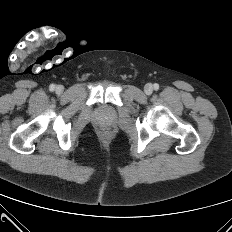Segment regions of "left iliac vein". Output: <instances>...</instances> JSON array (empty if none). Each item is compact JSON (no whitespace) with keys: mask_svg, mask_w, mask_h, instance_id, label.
<instances>
[{"mask_svg":"<svg viewBox=\"0 0 232 232\" xmlns=\"http://www.w3.org/2000/svg\"><path fill=\"white\" fill-rule=\"evenodd\" d=\"M144 91L147 95H150L153 92V85L148 83L144 86Z\"/></svg>","mask_w":232,"mask_h":232,"instance_id":"left-iliac-vein-1","label":"left iliac vein"}]
</instances>
